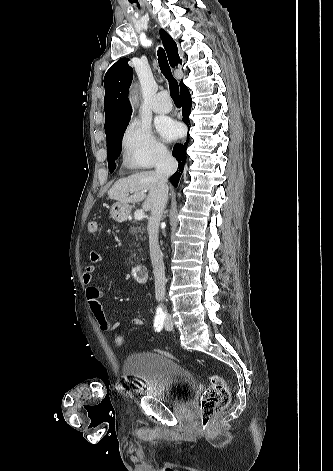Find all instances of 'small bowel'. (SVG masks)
<instances>
[{
    "mask_svg": "<svg viewBox=\"0 0 333 471\" xmlns=\"http://www.w3.org/2000/svg\"><path fill=\"white\" fill-rule=\"evenodd\" d=\"M102 261V257L97 252H90L89 261L84 267L82 279L86 286V299L90 309V312L95 319L99 329L102 332H112L120 326L119 321L110 322L104 312L102 299V291L95 286L93 277L96 269V265ZM131 323L135 326H141L144 321L140 317L131 318Z\"/></svg>",
    "mask_w": 333,
    "mask_h": 471,
    "instance_id": "c3829d8e",
    "label": "small bowel"
}]
</instances>
